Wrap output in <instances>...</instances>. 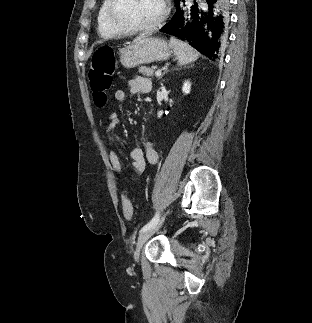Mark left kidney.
Masks as SVG:
<instances>
[{"mask_svg":"<svg viewBox=\"0 0 312 323\" xmlns=\"http://www.w3.org/2000/svg\"><path fill=\"white\" fill-rule=\"evenodd\" d=\"M190 90H191L190 82H184L182 92H184V94H190ZM162 114H163V112H158V118H161Z\"/></svg>","mask_w":312,"mask_h":323,"instance_id":"obj_1","label":"left kidney"}]
</instances>
